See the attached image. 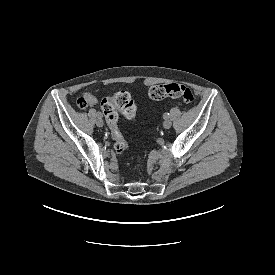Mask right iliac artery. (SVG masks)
I'll list each match as a JSON object with an SVG mask.
<instances>
[{"label":"right iliac artery","instance_id":"1","mask_svg":"<svg viewBox=\"0 0 275 275\" xmlns=\"http://www.w3.org/2000/svg\"><path fill=\"white\" fill-rule=\"evenodd\" d=\"M96 116L102 118V113H101V112H97V113H96Z\"/></svg>","mask_w":275,"mask_h":275}]
</instances>
